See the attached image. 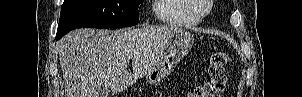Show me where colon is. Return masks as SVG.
<instances>
[{"mask_svg":"<svg viewBox=\"0 0 302 97\" xmlns=\"http://www.w3.org/2000/svg\"><path fill=\"white\" fill-rule=\"evenodd\" d=\"M229 55L223 51L215 52L210 59L208 82L197 86L192 97H217L226 84L225 66L229 63Z\"/></svg>","mask_w":302,"mask_h":97,"instance_id":"colon-1","label":"colon"}]
</instances>
